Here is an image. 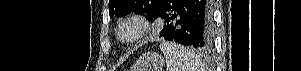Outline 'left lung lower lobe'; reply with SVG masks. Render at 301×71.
Wrapping results in <instances>:
<instances>
[{
  "mask_svg": "<svg viewBox=\"0 0 301 71\" xmlns=\"http://www.w3.org/2000/svg\"><path fill=\"white\" fill-rule=\"evenodd\" d=\"M211 6V0H163L153 18L165 20V40L205 50L212 45Z\"/></svg>",
  "mask_w": 301,
  "mask_h": 71,
  "instance_id": "1",
  "label": "left lung lower lobe"
}]
</instances>
